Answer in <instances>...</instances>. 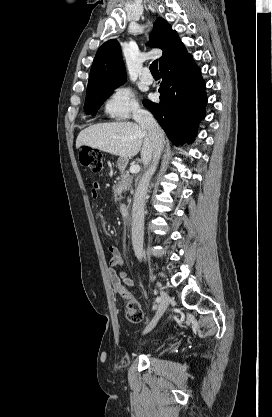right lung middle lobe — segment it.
<instances>
[{
	"mask_svg": "<svg viewBox=\"0 0 272 417\" xmlns=\"http://www.w3.org/2000/svg\"><path fill=\"white\" fill-rule=\"evenodd\" d=\"M113 89L115 88L97 90L87 94L84 105L85 112L94 116L103 102L110 96Z\"/></svg>",
	"mask_w": 272,
	"mask_h": 417,
	"instance_id": "obj_1",
	"label": "right lung middle lobe"
}]
</instances>
